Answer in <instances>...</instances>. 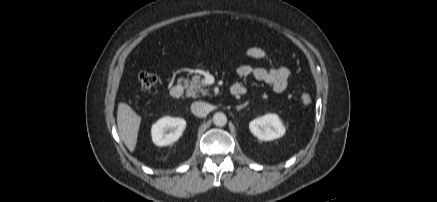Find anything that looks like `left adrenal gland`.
Here are the masks:
<instances>
[{
  "mask_svg": "<svg viewBox=\"0 0 437 202\" xmlns=\"http://www.w3.org/2000/svg\"><path fill=\"white\" fill-rule=\"evenodd\" d=\"M246 105H247V103H244V104H242V105L237 106L236 109H237L238 111H240L241 109H243L244 107H246Z\"/></svg>",
  "mask_w": 437,
  "mask_h": 202,
  "instance_id": "obj_1",
  "label": "left adrenal gland"
}]
</instances>
